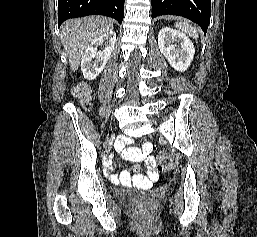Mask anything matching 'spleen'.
<instances>
[{
  "instance_id": "1",
  "label": "spleen",
  "mask_w": 257,
  "mask_h": 237,
  "mask_svg": "<svg viewBox=\"0 0 257 237\" xmlns=\"http://www.w3.org/2000/svg\"><path fill=\"white\" fill-rule=\"evenodd\" d=\"M176 27L178 29L184 31L185 33H187L189 36L193 37L194 39L198 38L197 30L194 27H192L191 25H189L188 23L179 22L176 24Z\"/></svg>"
}]
</instances>
